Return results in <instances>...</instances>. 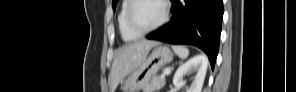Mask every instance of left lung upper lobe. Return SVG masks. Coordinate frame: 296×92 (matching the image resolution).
Segmentation results:
<instances>
[{
    "mask_svg": "<svg viewBox=\"0 0 296 92\" xmlns=\"http://www.w3.org/2000/svg\"><path fill=\"white\" fill-rule=\"evenodd\" d=\"M117 2H118V0H113V2H112L113 10H115Z\"/></svg>",
    "mask_w": 296,
    "mask_h": 92,
    "instance_id": "obj_1",
    "label": "left lung upper lobe"
}]
</instances>
